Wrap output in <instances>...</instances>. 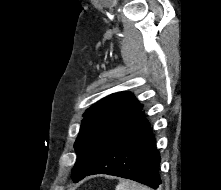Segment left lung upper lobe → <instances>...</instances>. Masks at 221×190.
<instances>
[{"mask_svg":"<svg viewBox=\"0 0 221 190\" xmlns=\"http://www.w3.org/2000/svg\"><path fill=\"white\" fill-rule=\"evenodd\" d=\"M142 104L129 92L111 94L86 110L74 147L77 161L72 179L87 174L114 136L142 110Z\"/></svg>","mask_w":221,"mask_h":190,"instance_id":"5c2ea615","label":"left lung upper lobe"}]
</instances>
